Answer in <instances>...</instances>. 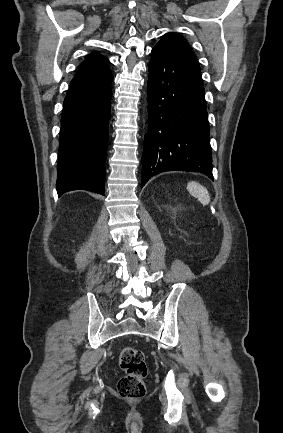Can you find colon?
<instances>
[{"label":"colon","mask_w":283,"mask_h":433,"mask_svg":"<svg viewBox=\"0 0 283 433\" xmlns=\"http://www.w3.org/2000/svg\"><path fill=\"white\" fill-rule=\"evenodd\" d=\"M119 365L124 372L117 385L119 395L131 400L142 398L146 392L144 379L147 375L144 353L125 346L119 353Z\"/></svg>","instance_id":"5ec220e1"}]
</instances>
